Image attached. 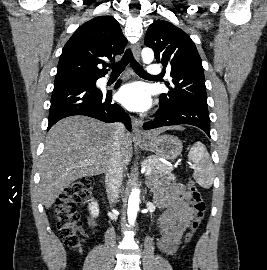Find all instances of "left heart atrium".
Here are the masks:
<instances>
[{
    "label": "left heart atrium",
    "mask_w": 267,
    "mask_h": 270,
    "mask_svg": "<svg viewBox=\"0 0 267 270\" xmlns=\"http://www.w3.org/2000/svg\"><path fill=\"white\" fill-rule=\"evenodd\" d=\"M118 101L129 110L144 111L151 105L147 88L141 83L124 85L117 94Z\"/></svg>",
    "instance_id": "obj_1"
}]
</instances>
